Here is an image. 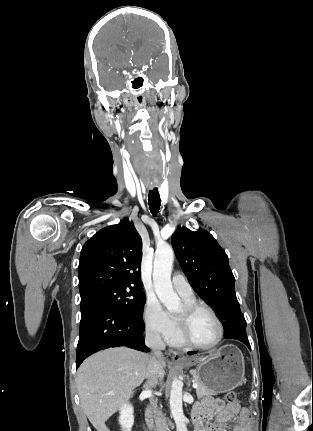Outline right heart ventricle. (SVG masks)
I'll return each instance as SVG.
<instances>
[{"label":"right heart ventricle","instance_id":"1","mask_svg":"<svg viewBox=\"0 0 313 431\" xmlns=\"http://www.w3.org/2000/svg\"><path fill=\"white\" fill-rule=\"evenodd\" d=\"M185 300L186 303L191 304V303H195V299L194 298H183ZM173 323H174V330L172 332V334L166 339V341L172 345V346H182L183 343L179 338L178 335V331H177V325L174 319Z\"/></svg>","mask_w":313,"mask_h":431}]
</instances>
